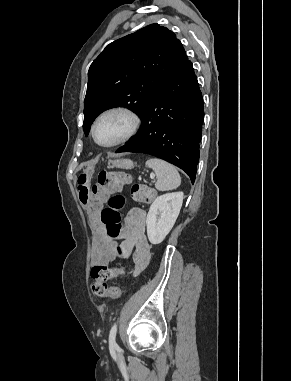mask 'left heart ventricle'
I'll return each instance as SVG.
<instances>
[{"label":"left heart ventricle","instance_id":"1","mask_svg":"<svg viewBox=\"0 0 291 381\" xmlns=\"http://www.w3.org/2000/svg\"><path fill=\"white\" fill-rule=\"evenodd\" d=\"M131 127V120L121 113H112L103 117L97 124V140L102 144L113 143L125 136Z\"/></svg>","mask_w":291,"mask_h":381}]
</instances>
